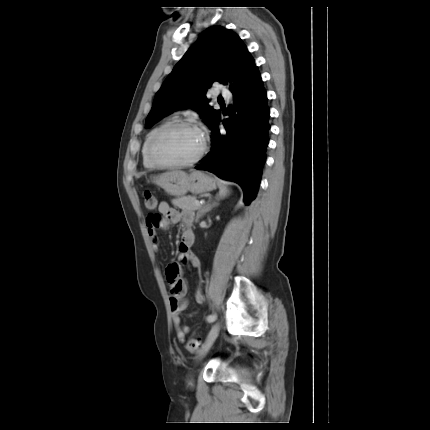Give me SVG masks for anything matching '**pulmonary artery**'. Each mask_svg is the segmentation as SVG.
I'll return each instance as SVG.
<instances>
[{"label":"pulmonary artery","instance_id":"e3ab8cb5","mask_svg":"<svg viewBox=\"0 0 430 430\" xmlns=\"http://www.w3.org/2000/svg\"><path fill=\"white\" fill-rule=\"evenodd\" d=\"M218 94H220V95H222L223 97L228 98V99L231 97V93H230V91H229L227 88H225V87H221V88L218 90Z\"/></svg>","mask_w":430,"mask_h":430}]
</instances>
